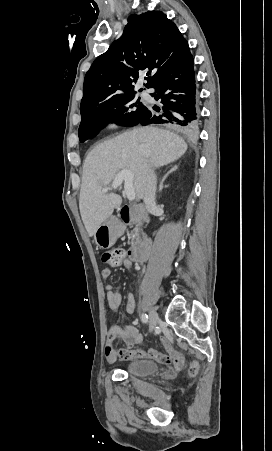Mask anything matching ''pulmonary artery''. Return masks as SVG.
I'll list each match as a JSON object with an SVG mask.
<instances>
[{
    "label": "pulmonary artery",
    "instance_id": "obj_1",
    "mask_svg": "<svg viewBox=\"0 0 272 451\" xmlns=\"http://www.w3.org/2000/svg\"><path fill=\"white\" fill-rule=\"evenodd\" d=\"M141 97L146 99V100H150L152 99V97L150 96V94H148L147 92H142L141 93Z\"/></svg>",
    "mask_w": 272,
    "mask_h": 451
}]
</instances>
